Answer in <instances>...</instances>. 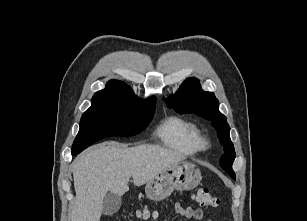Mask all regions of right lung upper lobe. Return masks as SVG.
<instances>
[{
    "label": "right lung upper lobe",
    "mask_w": 307,
    "mask_h": 221,
    "mask_svg": "<svg viewBox=\"0 0 307 221\" xmlns=\"http://www.w3.org/2000/svg\"><path fill=\"white\" fill-rule=\"evenodd\" d=\"M100 101H122V102H140L149 103L155 102L154 96L141 100L135 96L133 90L122 81L111 80L107 83L106 88L96 92L92 97L93 102Z\"/></svg>",
    "instance_id": "1"
}]
</instances>
